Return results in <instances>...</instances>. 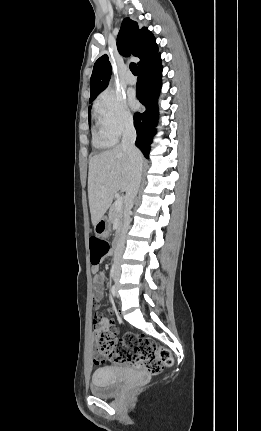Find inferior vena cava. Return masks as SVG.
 <instances>
[{"instance_id": "1", "label": "inferior vena cava", "mask_w": 261, "mask_h": 431, "mask_svg": "<svg viewBox=\"0 0 261 431\" xmlns=\"http://www.w3.org/2000/svg\"><path fill=\"white\" fill-rule=\"evenodd\" d=\"M136 141V130L133 125V120H129L125 124V128L122 136V146L127 150L131 162H132V177L129 188L126 191L125 197V210H124V221L123 228L117 243V247L115 249L114 261H115V269L114 274L116 277L120 276V260L125 248V241L127 232L131 222V209L134 205V199L138 193L140 183H141V175H142V159L140 157V151L135 146Z\"/></svg>"}]
</instances>
